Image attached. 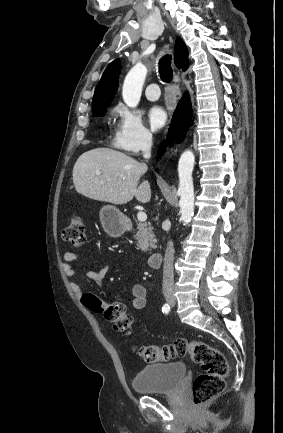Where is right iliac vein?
Returning <instances> with one entry per match:
<instances>
[{
	"label": "right iliac vein",
	"mask_w": 283,
	"mask_h": 433,
	"mask_svg": "<svg viewBox=\"0 0 283 433\" xmlns=\"http://www.w3.org/2000/svg\"><path fill=\"white\" fill-rule=\"evenodd\" d=\"M167 302L170 304V305H174L175 304V300L173 299V298H170V297H167Z\"/></svg>",
	"instance_id": "1"
}]
</instances>
